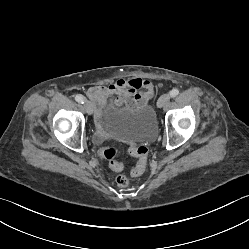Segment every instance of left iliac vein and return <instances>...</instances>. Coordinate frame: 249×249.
Segmentation results:
<instances>
[{"label": "left iliac vein", "instance_id": "1", "mask_svg": "<svg viewBox=\"0 0 249 249\" xmlns=\"http://www.w3.org/2000/svg\"><path fill=\"white\" fill-rule=\"evenodd\" d=\"M170 100L169 94H163L157 101V106L159 108L164 107Z\"/></svg>", "mask_w": 249, "mask_h": 249}]
</instances>
